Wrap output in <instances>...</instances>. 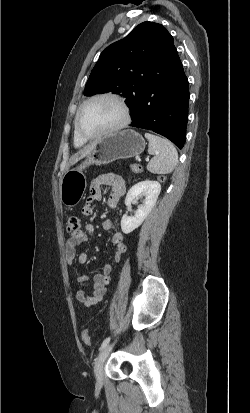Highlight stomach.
I'll return each instance as SVG.
<instances>
[{"label": "stomach", "mask_w": 250, "mask_h": 413, "mask_svg": "<svg viewBox=\"0 0 250 413\" xmlns=\"http://www.w3.org/2000/svg\"><path fill=\"white\" fill-rule=\"evenodd\" d=\"M145 148L144 138L134 130H123L96 140L94 149L78 167L68 170L61 179L60 198L68 208L78 204L87 182L84 170L91 164H108L118 159L138 156Z\"/></svg>", "instance_id": "0dacf381"}]
</instances>
